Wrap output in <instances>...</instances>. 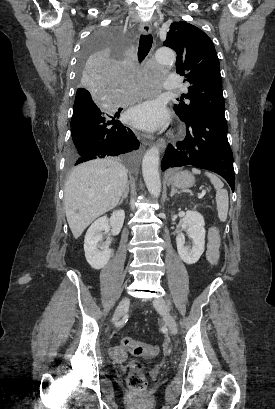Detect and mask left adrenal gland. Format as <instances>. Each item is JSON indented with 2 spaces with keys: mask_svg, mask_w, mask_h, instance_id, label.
<instances>
[{
  "mask_svg": "<svg viewBox=\"0 0 275 409\" xmlns=\"http://www.w3.org/2000/svg\"><path fill=\"white\" fill-rule=\"evenodd\" d=\"M175 192H178V194H180L179 190H177V188H174V186H171V194L170 196H173V194H175Z\"/></svg>",
  "mask_w": 275,
  "mask_h": 409,
  "instance_id": "a2214340",
  "label": "left adrenal gland"
}]
</instances>
